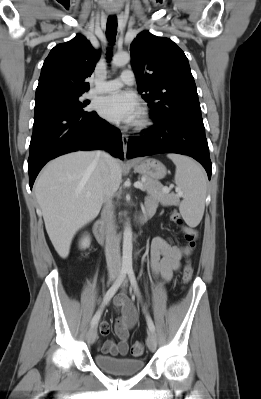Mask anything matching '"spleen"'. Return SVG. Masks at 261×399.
<instances>
[{"label": "spleen", "instance_id": "3e777b00", "mask_svg": "<svg viewBox=\"0 0 261 399\" xmlns=\"http://www.w3.org/2000/svg\"><path fill=\"white\" fill-rule=\"evenodd\" d=\"M168 158L176 166L175 183L183 194L180 203V213L185 222L197 226L204 214L207 190V177L203 168L193 159L179 155L168 154Z\"/></svg>", "mask_w": 261, "mask_h": 399}]
</instances>
